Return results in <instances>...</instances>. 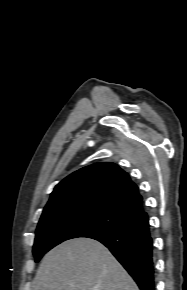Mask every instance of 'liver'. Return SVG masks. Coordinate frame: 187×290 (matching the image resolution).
Instances as JSON below:
<instances>
[{
    "label": "liver",
    "instance_id": "obj_1",
    "mask_svg": "<svg viewBox=\"0 0 187 290\" xmlns=\"http://www.w3.org/2000/svg\"><path fill=\"white\" fill-rule=\"evenodd\" d=\"M34 290H139L100 242L67 240L50 250L33 281Z\"/></svg>",
    "mask_w": 187,
    "mask_h": 290
}]
</instances>
